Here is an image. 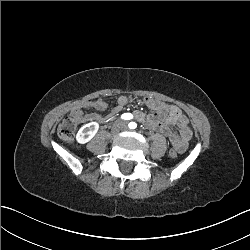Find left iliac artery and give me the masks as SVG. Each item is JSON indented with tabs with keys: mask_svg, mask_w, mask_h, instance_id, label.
Masks as SVG:
<instances>
[{
	"mask_svg": "<svg viewBox=\"0 0 250 250\" xmlns=\"http://www.w3.org/2000/svg\"><path fill=\"white\" fill-rule=\"evenodd\" d=\"M128 126L130 129H135L137 127V124L135 122H130Z\"/></svg>",
	"mask_w": 250,
	"mask_h": 250,
	"instance_id": "1",
	"label": "left iliac artery"
}]
</instances>
